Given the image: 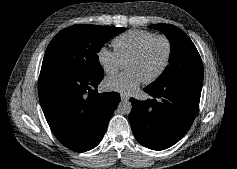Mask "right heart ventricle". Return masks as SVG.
Returning <instances> with one entry per match:
<instances>
[{"label": "right heart ventricle", "instance_id": "obj_1", "mask_svg": "<svg viewBox=\"0 0 237 169\" xmlns=\"http://www.w3.org/2000/svg\"><path fill=\"white\" fill-rule=\"evenodd\" d=\"M155 33L147 30H129L113 39V46L123 62Z\"/></svg>", "mask_w": 237, "mask_h": 169}]
</instances>
